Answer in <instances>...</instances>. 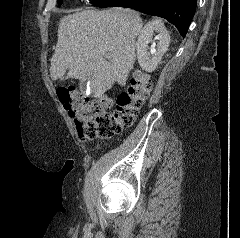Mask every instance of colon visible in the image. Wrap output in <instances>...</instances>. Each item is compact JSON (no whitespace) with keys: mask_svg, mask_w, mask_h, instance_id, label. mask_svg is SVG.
I'll list each match as a JSON object with an SVG mask.
<instances>
[{"mask_svg":"<svg viewBox=\"0 0 240 238\" xmlns=\"http://www.w3.org/2000/svg\"><path fill=\"white\" fill-rule=\"evenodd\" d=\"M151 90L149 75L137 70L129 86L118 96L113 112H107L108 97L90 101L74 86L59 87L57 96L74 119L78 136L84 140L110 138L133 124L135 117Z\"/></svg>","mask_w":240,"mask_h":238,"instance_id":"1","label":"colon"}]
</instances>
